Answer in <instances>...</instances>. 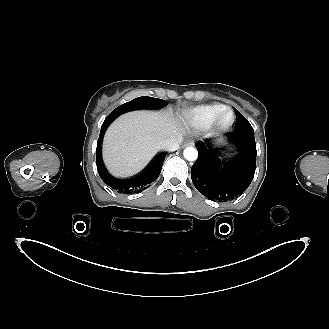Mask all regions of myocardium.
<instances>
[{
    "label": "myocardium",
    "mask_w": 329,
    "mask_h": 329,
    "mask_svg": "<svg viewBox=\"0 0 329 329\" xmlns=\"http://www.w3.org/2000/svg\"><path fill=\"white\" fill-rule=\"evenodd\" d=\"M228 113L231 114V120L228 123H224L223 117ZM235 119H236V116H235L234 111L228 107H225L215 117V119L213 120V125L217 130L226 131L232 127V125L235 122Z\"/></svg>",
    "instance_id": "myocardium-1"
}]
</instances>
